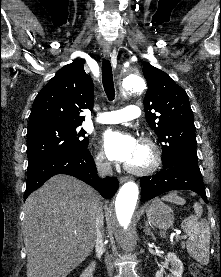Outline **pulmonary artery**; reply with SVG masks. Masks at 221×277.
<instances>
[{
    "label": "pulmonary artery",
    "mask_w": 221,
    "mask_h": 277,
    "mask_svg": "<svg viewBox=\"0 0 221 277\" xmlns=\"http://www.w3.org/2000/svg\"><path fill=\"white\" fill-rule=\"evenodd\" d=\"M141 117V108L137 105H128L124 109L101 113L97 121L102 124H117L136 120Z\"/></svg>",
    "instance_id": "pulmonary-artery-1"
}]
</instances>
